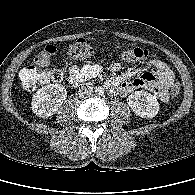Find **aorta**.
<instances>
[{"label":"aorta","instance_id":"1","mask_svg":"<svg viewBox=\"0 0 195 195\" xmlns=\"http://www.w3.org/2000/svg\"><path fill=\"white\" fill-rule=\"evenodd\" d=\"M95 92L98 94V95H103L104 93V89L100 86H98L96 89H95Z\"/></svg>","mask_w":195,"mask_h":195}]
</instances>
